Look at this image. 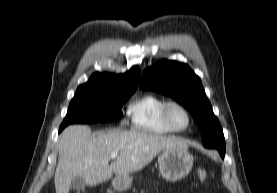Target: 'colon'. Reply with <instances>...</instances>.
<instances>
[{
  "mask_svg": "<svg viewBox=\"0 0 277 193\" xmlns=\"http://www.w3.org/2000/svg\"><path fill=\"white\" fill-rule=\"evenodd\" d=\"M197 175L201 182H205L208 178V174H207L206 170H204V169H198Z\"/></svg>",
  "mask_w": 277,
  "mask_h": 193,
  "instance_id": "colon-1",
  "label": "colon"
}]
</instances>
